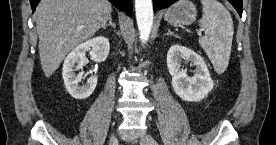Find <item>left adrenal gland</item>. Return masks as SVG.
I'll list each match as a JSON object with an SVG mask.
<instances>
[{
	"label": "left adrenal gland",
	"instance_id": "1",
	"mask_svg": "<svg viewBox=\"0 0 276 145\" xmlns=\"http://www.w3.org/2000/svg\"><path fill=\"white\" fill-rule=\"evenodd\" d=\"M165 35H172V36L178 38V36L176 34H174L170 29H168V32Z\"/></svg>",
	"mask_w": 276,
	"mask_h": 145
}]
</instances>
